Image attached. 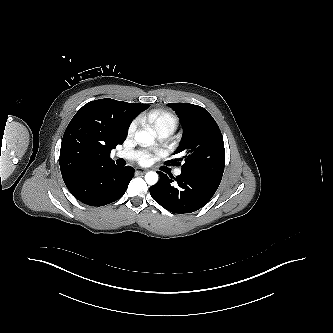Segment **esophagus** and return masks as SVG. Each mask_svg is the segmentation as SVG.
Segmentation results:
<instances>
[{
    "label": "esophagus",
    "mask_w": 333,
    "mask_h": 333,
    "mask_svg": "<svg viewBox=\"0 0 333 333\" xmlns=\"http://www.w3.org/2000/svg\"><path fill=\"white\" fill-rule=\"evenodd\" d=\"M136 172H137L138 174H144V173L147 172V170H145V169H140V168H136Z\"/></svg>",
    "instance_id": "esophagus-1"
}]
</instances>
